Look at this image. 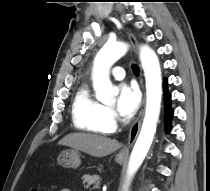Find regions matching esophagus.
<instances>
[{"instance_id": "esophagus-1", "label": "esophagus", "mask_w": 210, "mask_h": 191, "mask_svg": "<svg viewBox=\"0 0 210 191\" xmlns=\"http://www.w3.org/2000/svg\"><path fill=\"white\" fill-rule=\"evenodd\" d=\"M128 36H129L130 42H131V44L133 46V49H134L135 53L137 54L138 51H137L136 39H135V37L132 34H129ZM144 104H145V95L143 96L142 108H141V111H140V113L138 115V118L136 119V121L133 123V125L130 128L127 147L124 148L120 152V155L128 154L129 149L131 148V146L133 145V143L135 142V140H136V138L138 136V133H139V130H140V126H141V122H142V118H143V115H144Z\"/></svg>"}]
</instances>
